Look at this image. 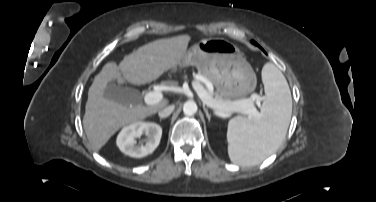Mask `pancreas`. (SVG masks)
Here are the masks:
<instances>
[{
    "mask_svg": "<svg viewBox=\"0 0 376 202\" xmlns=\"http://www.w3.org/2000/svg\"><path fill=\"white\" fill-rule=\"evenodd\" d=\"M197 83V82H196ZM208 94L210 95H213L210 91H207ZM214 99L218 100V101H230V99L228 98H224L223 96H221L219 93H216L215 94V97ZM240 100H245V99H240Z\"/></svg>",
    "mask_w": 376,
    "mask_h": 202,
    "instance_id": "1",
    "label": "pancreas"
}]
</instances>
